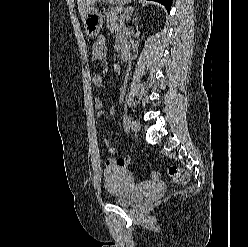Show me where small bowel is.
I'll return each instance as SVG.
<instances>
[{"label":"small bowel","instance_id":"obj_1","mask_svg":"<svg viewBox=\"0 0 248 247\" xmlns=\"http://www.w3.org/2000/svg\"><path fill=\"white\" fill-rule=\"evenodd\" d=\"M117 46L118 49H120L121 51L123 49H127L126 43L122 38H118ZM105 55H106V41L103 36H100L92 45L90 59L93 63H95L103 59ZM91 82L96 87L104 86L103 78L99 74H94L91 78ZM94 107L98 110L96 114L97 118H102L105 114L113 115L115 113V109L112 106L108 107L106 110L102 109V102L99 98H96L94 100ZM104 143L107 150L110 153H114L116 151L115 147L112 146L107 139H105ZM105 164L107 168L110 167L126 168L131 165V157L130 155L118 159L110 157L106 160Z\"/></svg>","mask_w":248,"mask_h":247}]
</instances>
